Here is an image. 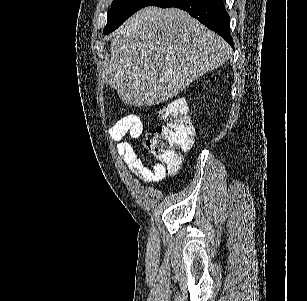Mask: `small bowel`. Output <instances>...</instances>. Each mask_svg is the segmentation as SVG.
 I'll return each instance as SVG.
<instances>
[{
	"mask_svg": "<svg viewBox=\"0 0 307 301\" xmlns=\"http://www.w3.org/2000/svg\"><path fill=\"white\" fill-rule=\"evenodd\" d=\"M143 133V122L138 116H128L117 121L110 129L109 135L116 142L118 154L127 167L144 183L162 179L165 170L158 162L146 166L138 157L134 141Z\"/></svg>",
	"mask_w": 307,
	"mask_h": 301,
	"instance_id": "c3829d8e",
	"label": "small bowel"
}]
</instances>
